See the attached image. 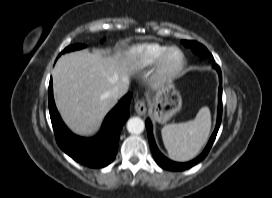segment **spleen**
Wrapping results in <instances>:
<instances>
[{
  "label": "spleen",
  "instance_id": "1",
  "mask_svg": "<svg viewBox=\"0 0 272 198\" xmlns=\"http://www.w3.org/2000/svg\"><path fill=\"white\" fill-rule=\"evenodd\" d=\"M211 129V114L202 107L194 120L165 125L162 139L172 160L185 162L193 159L206 143Z\"/></svg>",
  "mask_w": 272,
  "mask_h": 198
}]
</instances>
